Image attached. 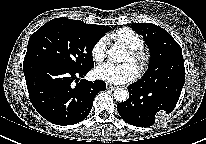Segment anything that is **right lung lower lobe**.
<instances>
[{
  "label": "right lung lower lobe",
  "instance_id": "1",
  "mask_svg": "<svg viewBox=\"0 0 206 144\" xmlns=\"http://www.w3.org/2000/svg\"><path fill=\"white\" fill-rule=\"evenodd\" d=\"M91 68L71 70L48 62L23 63L29 98L38 113L56 125L84 120L96 94L106 89L104 81L79 80Z\"/></svg>",
  "mask_w": 206,
  "mask_h": 144
}]
</instances>
